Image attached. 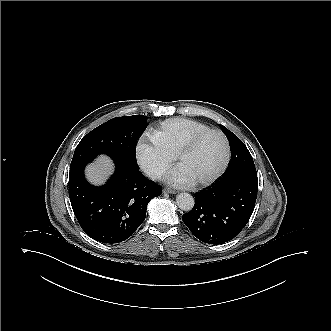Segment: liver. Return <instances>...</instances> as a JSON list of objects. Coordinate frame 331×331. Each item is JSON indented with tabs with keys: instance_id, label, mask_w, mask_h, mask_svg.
<instances>
[{
	"instance_id": "liver-1",
	"label": "liver",
	"mask_w": 331,
	"mask_h": 331,
	"mask_svg": "<svg viewBox=\"0 0 331 331\" xmlns=\"http://www.w3.org/2000/svg\"><path fill=\"white\" fill-rule=\"evenodd\" d=\"M113 171L112 161L107 156L101 155L95 163L86 168V177L94 185H102Z\"/></svg>"
}]
</instances>
